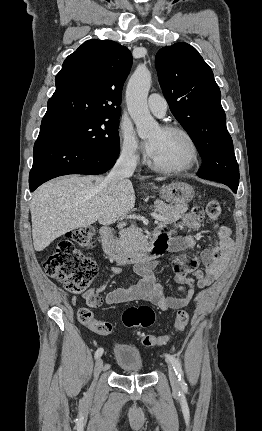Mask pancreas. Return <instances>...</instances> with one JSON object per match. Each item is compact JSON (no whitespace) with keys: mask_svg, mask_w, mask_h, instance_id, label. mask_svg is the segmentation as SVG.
Returning <instances> with one entry per match:
<instances>
[{"mask_svg":"<svg viewBox=\"0 0 262 431\" xmlns=\"http://www.w3.org/2000/svg\"><path fill=\"white\" fill-rule=\"evenodd\" d=\"M154 205L156 211L165 218L161 223L163 226L178 221L188 210L187 205H168L162 200H156ZM117 243L123 251L131 253L140 251L145 240L141 230L132 225L122 230Z\"/></svg>","mask_w":262,"mask_h":431,"instance_id":"obj_1","label":"pancreas"}]
</instances>
